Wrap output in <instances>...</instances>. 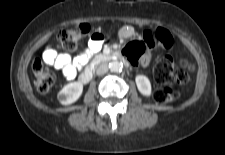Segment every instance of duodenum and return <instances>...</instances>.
Returning <instances> with one entry per match:
<instances>
[{"label": "duodenum", "mask_w": 225, "mask_h": 155, "mask_svg": "<svg viewBox=\"0 0 225 155\" xmlns=\"http://www.w3.org/2000/svg\"><path fill=\"white\" fill-rule=\"evenodd\" d=\"M110 61L126 62L125 58L119 52H111V53L99 55L80 75V81L82 83H88L92 79L95 69L98 66Z\"/></svg>", "instance_id": "1"}]
</instances>
